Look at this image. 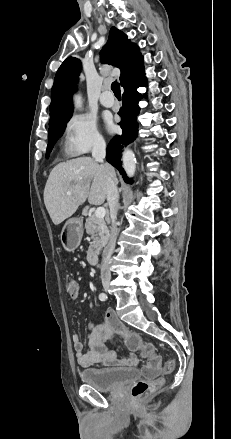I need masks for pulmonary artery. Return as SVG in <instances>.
Segmentation results:
<instances>
[{
    "label": "pulmonary artery",
    "instance_id": "e3ab8cb5",
    "mask_svg": "<svg viewBox=\"0 0 231 439\" xmlns=\"http://www.w3.org/2000/svg\"><path fill=\"white\" fill-rule=\"evenodd\" d=\"M100 103L104 107H112L115 103L113 96L108 89H105L100 96Z\"/></svg>",
    "mask_w": 231,
    "mask_h": 439
}]
</instances>
